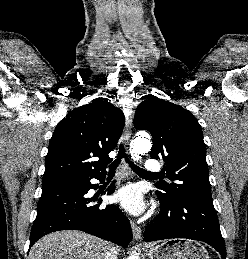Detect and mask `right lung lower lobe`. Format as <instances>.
Here are the masks:
<instances>
[{
  "label": "right lung lower lobe",
  "instance_id": "98d812e1",
  "mask_svg": "<svg viewBox=\"0 0 248 259\" xmlns=\"http://www.w3.org/2000/svg\"><path fill=\"white\" fill-rule=\"evenodd\" d=\"M106 172L89 178L42 186L34 221L30 247L44 235L59 230H81L102 239L127 247L132 240L128 218L118 206L100 207L91 204L96 199L87 198V192L95 185L92 178L104 180ZM114 192V183L107 193ZM101 201V200H99Z\"/></svg>",
  "mask_w": 248,
  "mask_h": 259
}]
</instances>
